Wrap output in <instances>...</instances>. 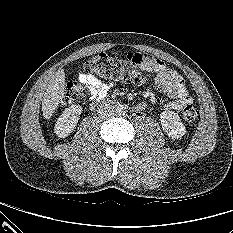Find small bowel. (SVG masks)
Masks as SVG:
<instances>
[{
	"instance_id": "obj_1",
	"label": "small bowel",
	"mask_w": 233,
	"mask_h": 233,
	"mask_svg": "<svg viewBox=\"0 0 233 233\" xmlns=\"http://www.w3.org/2000/svg\"><path fill=\"white\" fill-rule=\"evenodd\" d=\"M127 57L140 60L142 70L156 74V87L172 99L165 105L167 109L181 110L192 104L193 99L189 95L181 75L177 71L167 68L162 60L146 54H128ZM78 80L87 89L90 100L104 99L112 87L111 83L101 81L92 74L81 73ZM143 107V105H139L137 108L142 110Z\"/></svg>"
}]
</instances>
